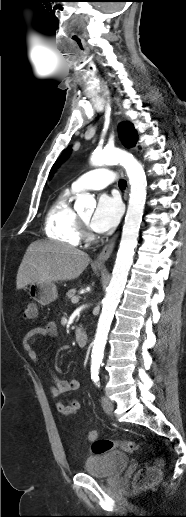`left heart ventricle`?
Wrapping results in <instances>:
<instances>
[{
  "instance_id": "left-heart-ventricle-1",
  "label": "left heart ventricle",
  "mask_w": 186,
  "mask_h": 517,
  "mask_svg": "<svg viewBox=\"0 0 186 517\" xmlns=\"http://www.w3.org/2000/svg\"><path fill=\"white\" fill-rule=\"evenodd\" d=\"M90 216H91V214H90V213H88V214H84V215H82V218H83L85 221H88V220L90 219Z\"/></svg>"
}]
</instances>
